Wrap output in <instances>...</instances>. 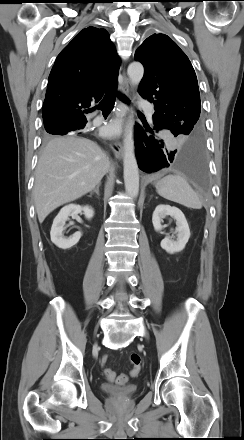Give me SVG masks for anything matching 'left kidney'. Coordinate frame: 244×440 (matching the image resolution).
I'll list each match as a JSON object with an SVG mask.
<instances>
[{
	"instance_id": "obj_1",
	"label": "left kidney",
	"mask_w": 244,
	"mask_h": 440,
	"mask_svg": "<svg viewBox=\"0 0 244 440\" xmlns=\"http://www.w3.org/2000/svg\"><path fill=\"white\" fill-rule=\"evenodd\" d=\"M166 216H171L176 220V236L177 239L173 240L171 237L166 236L161 241V247L166 252L173 254L182 251L189 238L190 229L187 220L182 213V211L176 207H171L170 205H158L152 216V223L155 231L159 232L162 230L161 222Z\"/></svg>"
}]
</instances>
